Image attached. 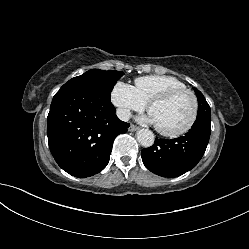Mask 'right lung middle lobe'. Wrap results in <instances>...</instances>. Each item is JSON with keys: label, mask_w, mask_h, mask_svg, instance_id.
<instances>
[{"label": "right lung middle lobe", "mask_w": 249, "mask_h": 249, "mask_svg": "<svg viewBox=\"0 0 249 249\" xmlns=\"http://www.w3.org/2000/svg\"><path fill=\"white\" fill-rule=\"evenodd\" d=\"M124 75L121 71H104L92 69L84 74L74 77L63 86L81 87L93 91L99 97L110 101L111 91L119 80Z\"/></svg>", "instance_id": "dd1d6c3e"}]
</instances>
